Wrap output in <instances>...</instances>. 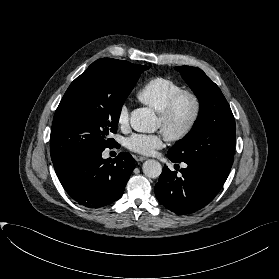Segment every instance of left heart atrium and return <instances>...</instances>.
Returning a JSON list of instances; mask_svg holds the SVG:
<instances>
[{"label": "left heart atrium", "instance_id": "left-heart-atrium-1", "mask_svg": "<svg viewBox=\"0 0 279 279\" xmlns=\"http://www.w3.org/2000/svg\"><path fill=\"white\" fill-rule=\"evenodd\" d=\"M165 136L162 133H135L127 138L126 146L132 152L142 155H152L164 145Z\"/></svg>", "mask_w": 279, "mask_h": 279}]
</instances>
